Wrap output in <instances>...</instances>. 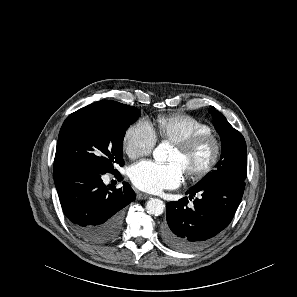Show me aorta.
I'll return each instance as SVG.
<instances>
[{
	"mask_svg": "<svg viewBox=\"0 0 297 297\" xmlns=\"http://www.w3.org/2000/svg\"><path fill=\"white\" fill-rule=\"evenodd\" d=\"M153 157L156 161L163 162L167 158L166 149L163 145H159L153 151ZM165 205L162 200L153 198L146 204L147 213L154 216H159L163 213Z\"/></svg>",
	"mask_w": 297,
	"mask_h": 297,
	"instance_id": "aorta-1",
	"label": "aorta"
}]
</instances>
